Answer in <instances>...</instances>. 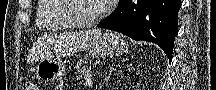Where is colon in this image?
<instances>
[{
  "mask_svg": "<svg viewBox=\"0 0 216 90\" xmlns=\"http://www.w3.org/2000/svg\"><path fill=\"white\" fill-rule=\"evenodd\" d=\"M24 90H38V87L35 83L33 82H27L25 83L24 87H23Z\"/></svg>",
  "mask_w": 216,
  "mask_h": 90,
  "instance_id": "5ec220e1",
  "label": "colon"
}]
</instances>
